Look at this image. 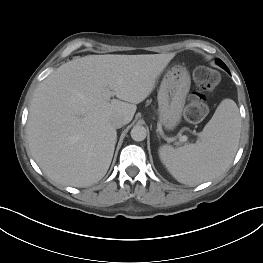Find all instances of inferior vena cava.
Segmentation results:
<instances>
[{"instance_id": "1", "label": "inferior vena cava", "mask_w": 263, "mask_h": 263, "mask_svg": "<svg viewBox=\"0 0 263 263\" xmlns=\"http://www.w3.org/2000/svg\"><path fill=\"white\" fill-rule=\"evenodd\" d=\"M111 123L113 125L114 128H121L125 123H124V119L120 116L114 117L111 120Z\"/></svg>"}]
</instances>
